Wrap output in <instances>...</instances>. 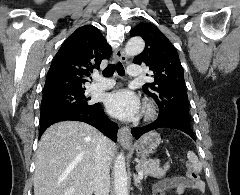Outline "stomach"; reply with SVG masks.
Returning <instances> with one entry per match:
<instances>
[{
	"mask_svg": "<svg viewBox=\"0 0 240 195\" xmlns=\"http://www.w3.org/2000/svg\"><path fill=\"white\" fill-rule=\"evenodd\" d=\"M160 141L161 135L158 131H148V133H143L134 145H125V147L135 149L138 157L146 159V157H149L150 153H154V151H156Z\"/></svg>",
	"mask_w": 240,
	"mask_h": 195,
	"instance_id": "1",
	"label": "stomach"
}]
</instances>
